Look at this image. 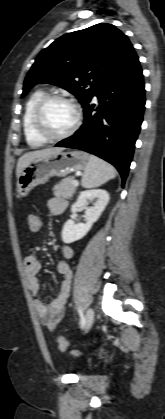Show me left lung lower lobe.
Instances as JSON below:
<instances>
[{"instance_id": "1", "label": "left lung lower lobe", "mask_w": 165, "mask_h": 419, "mask_svg": "<svg viewBox=\"0 0 165 419\" xmlns=\"http://www.w3.org/2000/svg\"><path fill=\"white\" fill-rule=\"evenodd\" d=\"M98 105L83 108L84 123L56 146L80 149L114 165L124 186L145 108L142 69L135 51L100 84Z\"/></svg>"}]
</instances>
